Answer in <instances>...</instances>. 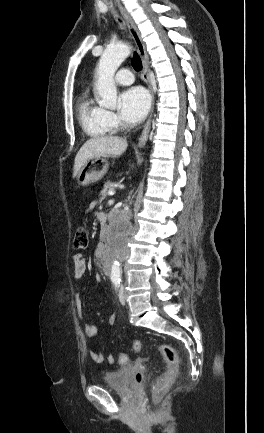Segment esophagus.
Wrapping results in <instances>:
<instances>
[{
  "label": "esophagus",
  "mask_w": 264,
  "mask_h": 433,
  "mask_svg": "<svg viewBox=\"0 0 264 433\" xmlns=\"http://www.w3.org/2000/svg\"><path fill=\"white\" fill-rule=\"evenodd\" d=\"M118 7L120 9L121 14L123 15L127 27L129 29L130 35L133 38L138 53L141 57L142 60V77L145 81V83L147 84L150 93H151V100H152V107H151V112L149 115V118L144 126V129L140 135L139 141H138V147H142L145 145V143L147 142L148 139V135L150 132V128H151V120H152V115H153V110H154V93L152 90V85H151V81H150V77H149V57L146 51V47L145 44L141 38L140 32L137 28V26L135 25L134 21L132 20L130 14L126 11V9L124 7H122L120 4H118Z\"/></svg>",
  "instance_id": "34e87169"
}]
</instances>
